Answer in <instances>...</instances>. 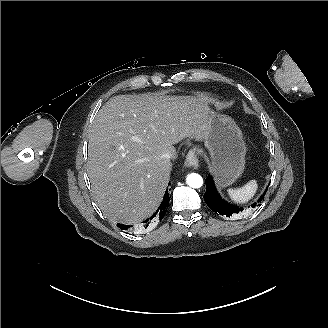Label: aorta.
I'll list each match as a JSON object with an SVG mask.
<instances>
[{
  "label": "aorta",
  "instance_id": "aorta-1",
  "mask_svg": "<svg viewBox=\"0 0 328 328\" xmlns=\"http://www.w3.org/2000/svg\"><path fill=\"white\" fill-rule=\"evenodd\" d=\"M186 183L192 188H200L203 185V178L197 173L187 175Z\"/></svg>",
  "mask_w": 328,
  "mask_h": 328
}]
</instances>
